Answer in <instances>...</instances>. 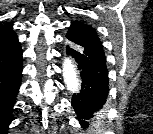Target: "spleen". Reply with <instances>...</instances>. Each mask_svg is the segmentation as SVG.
<instances>
[{
    "label": "spleen",
    "mask_w": 153,
    "mask_h": 134,
    "mask_svg": "<svg viewBox=\"0 0 153 134\" xmlns=\"http://www.w3.org/2000/svg\"><path fill=\"white\" fill-rule=\"evenodd\" d=\"M103 113L102 112H99L98 113V116L96 117L97 121L96 122H93V126L97 129L98 132H100V126H101V118H103Z\"/></svg>",
    "instance_id": "spleen-1"
}]
</instances>
